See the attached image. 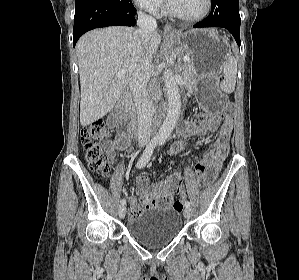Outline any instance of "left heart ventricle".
Returning <instances> with one entry per match:
<instances>
[{"label": "left heart ventricle", "mask_w": 299, "mask_h": 280, "mask_svg": "<svg viewBox=\"0 0 299 280\" xmlns=\"http://www.w3.org/2000/svg\"><path fill=\"white\" fill-rule=\"evenodd\" d=\"M172 6L184 16L197 17L205 9V0H170Z\"/></svg>", "instance_id": "left-heart-ventricle-1"}]
</instances>
